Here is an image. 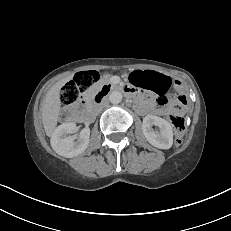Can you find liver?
Here are the masks:
<instances>
[{"label": "liver", "instance_id": "liver-1", "mask_svg": "<svg viewBox=\"0 0 231 231\" xmlns=\"http://www.w3.org/2000/svg\"><path fill=\"white\" fill-rule=\"evenodd\" d=\"M72 75L54 84L47 92L41 106L42 122L47 136H52L57 126L61 109L60 90L66 82L71 80Z\"/></svg>", "mask_w": 231, "mask_h": 231}]
</instances>
